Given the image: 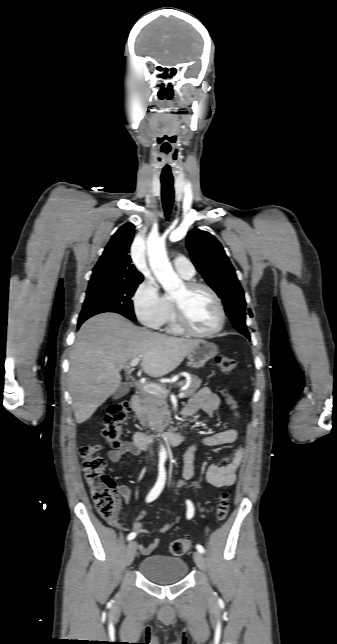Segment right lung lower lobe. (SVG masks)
Here are the masks:
<instances>
[{
  "mask_svg": "<svg viewBox=\"0 0 337 644\" xmlns=\"http://www.w3.org/2000/svg\"><path fill=\"white\" fill-rule=\"evenodd\" d=\"M84 321H78V327L83 323Z\"/></svg>",
  "mask_w": 337,
  "mask_h": 644,
  "instance_id": "obj_1",
  "label": "right lung lower lobe"
}]
</instances>
